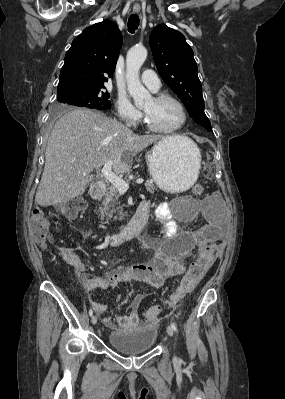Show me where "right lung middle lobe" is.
<instances>
[{"instance_id":"obj_1","label":"right lung middle lobe","mask_w":285,"mask_h":399,"mask_svg":"<svg viewBox=\"0 0 285 399\" xmlns=\"http://www.w3.org/2000/svg\"><path fill=\"white\" fill-rule=\"evenodd\" d=\"M109 98L110 94L102 91V88L68 90L57 95V110L65 109L70 105L108 110L111 108Z\"/></svg>"}]
</instances>
